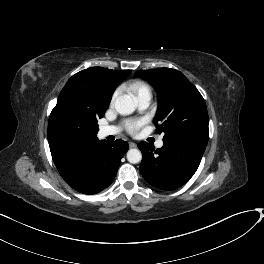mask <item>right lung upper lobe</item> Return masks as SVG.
Wrapping results in <instances>:
<instances>
[{
  "label": "right lung upper lobe",
  "mask_w": 264,
  "mask_h": 264,
  "mask_svg": "<svg viewBox=\"0 0 264 264\" xmlns=\"http://www.w3.org/2000/svg\"><path fill=\"white\" fill-rule=\"evenodd\" d=\"M130 72L92 67L76 73L68 80L48 123V142L55 165L98 141V131L91 127L67 126L62 119L64 110L70 105L108 108L115 88Z\"/></svg>",
  "instance_id": "cb5924a9"
}]
</instances>
